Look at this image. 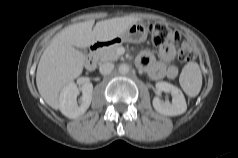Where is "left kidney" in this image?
I'll list each match as a JSON object with an SVG mask.
<instances>
[{
	"instance_id": "obj_1",
	"label": "left kidney",
	"mask_w": 238,
	"mask_h": 158,
	"mask_svg": "<svg viewBox=\"0 0 238 158\" xmlns=\"http://www.w3.org/2000/svg\"><path fill=\"white\" fill-rule=\"evenodd\" d=\"M156 89L159 93H170L172 103L163 102L158 96L153 99L154 109L167 116H177L183 114L187 109V104L182 91L168 82H157Z\"/></svg>"
}]
</instances>
